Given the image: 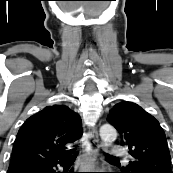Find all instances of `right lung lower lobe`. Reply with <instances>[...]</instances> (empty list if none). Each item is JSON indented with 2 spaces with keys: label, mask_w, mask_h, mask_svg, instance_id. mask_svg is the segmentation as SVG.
Masks as SVG:
<instances>
[{
  "label": "right lung lower lobe",
  "mask_w": 173,
  "mask_h": 173,
  "mask_svg": "<svg viewBox=\"0 0 173 173\" xmlns=\"http://www.w3.org/2000/svg\"><path fill=\"white\" fill-rule=\"evenodd\" d=\"M64 161L65 159L50 163L16 167L9 169L7 173H56L53 167L56 166L57 164H60L61 166L64 165ZM69 173H74V172L70 170Z\"/></svg>",
  "instance_id": "1"
}]
</instances>
